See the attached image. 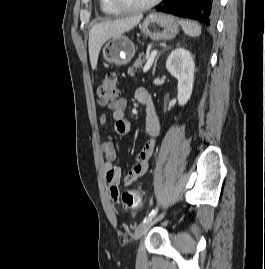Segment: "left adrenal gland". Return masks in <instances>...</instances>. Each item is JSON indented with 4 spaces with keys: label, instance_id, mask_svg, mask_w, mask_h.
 I'll list each match as a JSON object with an SVG mask.
<instances>
[{
    "label": "left adrenal gland",
    "instance_id": "a2214340",
    "mask_svg": "<svg viewBox=\"0 0 265 269\" xmlns=\"http://www.w3.org/2000/svg\"><path fill=\"white\" fill-rule=\"evenodd\" d=\"M162 52L163 51L159 52L158 55H157V57H156V59H155L154 67H153V72H152L153 75L155 74V69H156L158 58H159V56L161 55Z\"/></svg>",
    "mask_w": 265,
    "mask_h": 269
}]
</instances>
